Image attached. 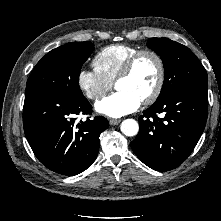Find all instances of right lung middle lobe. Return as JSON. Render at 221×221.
I'll return each instance as SVG.
<instances>
[{"mask_svg": "<svg viewBox=\"0 0 221 221\" xmlns=\"http://www.w3.org/2000/svg\"><path fill=\"white\" fill-rule=\"evenodd\" d=\"M93 50L94 44L89 41L71 42L51 50L34 67L26 90L39 89L74 99L83 98L79 74Z\"/></svg>", "mask_w": 221, "mask_h": 221, "instance_id": "dd1d6c3e", "label": "right lung middle lobe"}]
</instances>
